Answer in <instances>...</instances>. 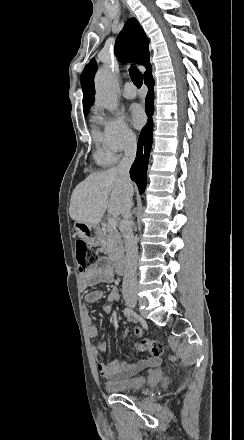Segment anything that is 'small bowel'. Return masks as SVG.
Returning a JSON list of instances; mask_svg holds the SVG:
<instances>
[{
  "label": "small bowel",
  "instance_id": "small-bowel-1",
  "mask_svg": "<svg viewBox=\"0 0 244 440\" xmlns=\"http://www.w3.org/2000/svg\"><path fill=\"white\" fill-rule=\"evenodd\" d=\"M112 280L111 268L104 258L98 259L95 266L88 268L80 276V287L82 290H87L100 283L110 282ZM103 297V292L101 290H91L87 292L84 296V300L87 303H96ZM120 292L117 288H112L109 292V301H119ZM106 309H110L107 305ZM84 324L87 329L88 336L90 338H95L98 335V328L93 322L92 316L88 311H84L83 314ZM128 332V331H127ZM105 352V345L101 343L97 348L94 349L93 355L96 360L97 370L100 375L111 381H127L135 376L140 371L148 368L149 366H158L159 362L153 358L148 360H137L134 358H129L121 361H114L111 363H105L103 360V354Z\"/></svg>",
  "mask_w": 244,
  "mask_h": 440
}]
</instances>
